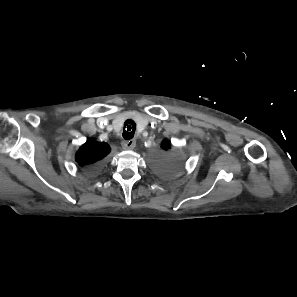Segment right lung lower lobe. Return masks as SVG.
Instances as JSON below:
<instances>
[{
    "mask_svg": "<svg viewBox=\"0 0 297 297\" xmlns=\"http://www.w3.org/2000/svg\"><path fill=\"white\" fill-rule=\"evenodd\" d=\"M99 166H100V164H97V165L93 166L92 168L95 170V169L99 168Z\"/></svg>",
    "mask_w": 297,
    "mask_h": 297,
    "instance_id": "obj_1",
    "label": "right lung lower lobe"
}]
</instances>
